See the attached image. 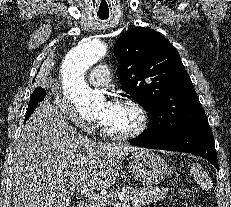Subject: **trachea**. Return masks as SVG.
Wrapping results in <instances>:
<instances>
[{
	"instance_id": "trachea-1",
	"label": "trachea",
	"mask_w": 231,
	"mask_h": 207,
	"mask_svg": "<svg viewBox=\"0 0 231 207\" xmlns=\"http://www.w3.org/2000/svg\"><path fill=\"white\" fill-rule=\"evenodd\" d=\"M99 17H100L101 19H107V18H108L107 15H99Z\"/></svg>"
}]
</instances>
